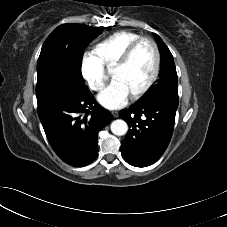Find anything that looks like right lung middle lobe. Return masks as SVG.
<instances>
[{"label":"right lung middle lobe","mask_w":227,"mask_h":227,"mask_svg":"<svg viewBox=\"0 0 227 227\" xmlns=\"http://www.w3.org/2000/svg\"><path fill=\"white\" fill-rule=\"evenodd\" d=\"M104 27L62 24L45 40L37 62V98L62 84L84 85L81 64L84 50Z\"/></svg>","instance_id":"obj_1"}]
</instances>
